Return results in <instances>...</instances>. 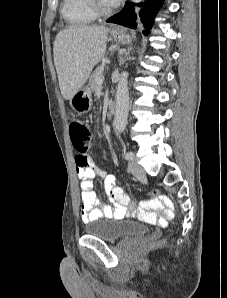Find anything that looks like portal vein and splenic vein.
Returning a JSON list of instances; mask_svg holds the SVG:
<instances>
[{
	"label": "portal vein and splenic vein",
	"mask_w": 227,
	"mask_h": 298,
	"mask_svg": "<svg viewBox=\"0 0 227 298\" xmlns=\"http://www.w3.org/2000/svg\"><path fill=\"white\" fill-rule=\"evenodd\" d=\"M103 80H104V77L103 76H100L99 78H97V84L98 85H102L103 84Z\"/></svg>",
	"instance_id": "1"
}]
</instances>
